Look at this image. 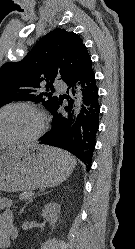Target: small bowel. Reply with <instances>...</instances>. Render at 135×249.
Returning <instances> with one entry per match:
<instances>
[{"label":"small bowel","mask_w":135,"mask_h":249,"mask_svg":"<svg viewBox=\"0 0 135 249\" xmlns=\"http://www.w3.org/2000/svg\"><path fill=\"white\" fill-rule=\"evenodd\" d=\"M12 202L7 197H0V210L6 209L0 214V247H5L11 239L17 237V230L13 223V215L8 210Z\"/></svg>","instance_id":"1"}]
</instances>
